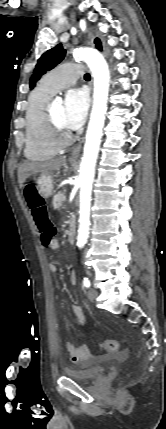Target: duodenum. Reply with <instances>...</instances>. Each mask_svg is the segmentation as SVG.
Here are the masks:
<instances>
[{
	"mask_svg": "<svg viewBox=\"0 0 166 429\" xmlns=\"http://www.w3.org/2000/svg\"><path fill=\"white\" fill-rule=\"evenodd\" d=\"M76 235V221L74 217H70L69 219V225H68V231H67V238L69 243H74Z\"/></svg>",
	"mask_w": 166,
	"mask_h": 429,
	"instance_id": "410a0bca",
	"label": "duodenum"
}]
</instances>
